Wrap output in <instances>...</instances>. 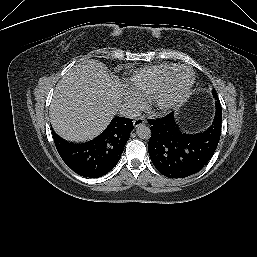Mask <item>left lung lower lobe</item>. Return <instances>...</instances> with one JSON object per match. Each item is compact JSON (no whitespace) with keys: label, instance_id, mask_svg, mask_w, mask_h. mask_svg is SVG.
<instances>
[{"label":"left lung lower lobe","instance_id":"left-lung-lower-lobe-1","mask_svg":"<svg viewBox=\"0 0 257 257\" xmlns=\"http://www.w3.org/2000/svg\"><path fill=\"white\" fill-rule=\"evenodd\" d=\"M215 107L212 123L197 133L184 132L173 113L148 120L151 125L148 151L161 174L169 178H185L199 172L208 163L221 135L222 108L219 100L215 101Z\"/></svg>","mask_w":257,"mask_h":257}]
</instances>
